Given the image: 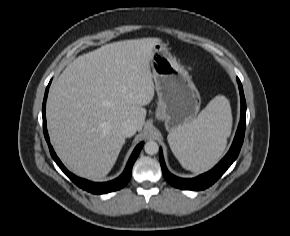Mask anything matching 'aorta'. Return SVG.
I'll list each match as a JSON object with an SVG mask.
<instances>
[{
  "instance_id": "obj_1",
  "label": "aorta",
  "mask_w": 290,
  "mask_h": 236,
  "mask_svg": "<svg viewBox=\"0 0 290 236\" xmlns=\"http://www.w3.org/2000/svg\"><path fill=\"white\" fill-rule=\"evenodd\" d=\"M144 150L149 155H155L159 151V146H158L157 142H155V141H148L144 145Z\"/></svg>"
}]
</instances>
